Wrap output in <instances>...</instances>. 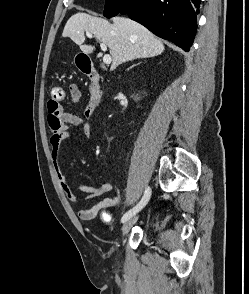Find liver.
<instances>
[{"instance_id": "obj_1", "label": "liver", "mask_w": 249, "mask_h": 294, "mask_svg": "<svg viewBox=\"0 0 249 294\" xmlns=\"http://www.w3.org/2000/svg\"><path fill=\"white\" fill-rule=\"evenodd\" d=\"M113 23L79 12L67 21L62 36L70 37L84 53H92L95 47L85 45L84 31L105 43L112 56L111 70L127 61L155 57L163 53L164 45L144 26L128 18L115 17Z\"/></svg>"}]
</instances>
